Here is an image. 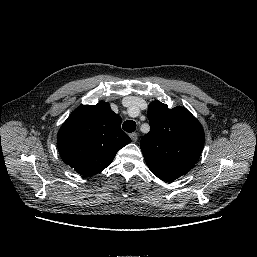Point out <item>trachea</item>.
<instances>
[{"mask_svg": "<svg viewBox=\"0 0 257 257\" xmlns=\"http://www.w3.org/2000/svg\"><path fill=\"white\" fill-rule=\"evenodd\" d=\"M122 128L128 133L134 132L136 129V123L132 120H127L123 123Z\"/></svg>", "mask_w": 257, "mask_h": 257, "instance_id": "obj_1", "label": "trachea"}]
</instances>
